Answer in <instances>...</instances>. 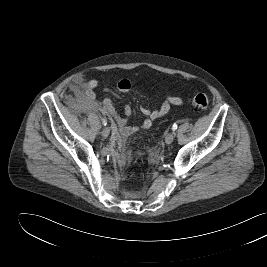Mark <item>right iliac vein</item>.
<instances>
[{
    "label": "right iliac vein",
    "mask_w": 267,
    "mask_h": 267,
    "mask_svg": "<svg viewBox=\"0 0 267 267\" xmlns=\"http://www.w3.org/2000/svg\"><path fill=\"white\" fill-rule=\"evenodd\" d=\"M109 133H110V129L109 127H104L101 131V134L104 138H107L109 136Z\"/></svg>",
    "instance_id": "63e3f726"
}]
</instances>
